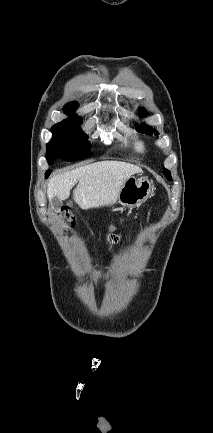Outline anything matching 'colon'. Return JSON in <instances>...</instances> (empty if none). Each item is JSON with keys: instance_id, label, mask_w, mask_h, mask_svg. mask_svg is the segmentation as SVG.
<instances>
[{"instance_id": "obj_1", "label": "colon", "mask_w": 213, "mask_h": 433, "mask_svg": "<svg viewBox=\"0 0 213 433\" xmlns=\"http://www.w3.org/2000/svg\"><path fill=\"white\" fill-rule=\"evenodd\" d=\"M61 217L70 225H73L75 223L74 214L70 209H64L61 213Z\"/></svg>"}]
</instances>
